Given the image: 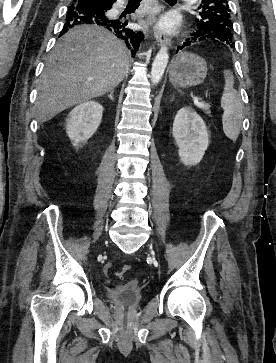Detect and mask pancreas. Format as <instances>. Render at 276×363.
I'll list each match as a JSON object with an SVG mask.
<instances>
[{
	"mask_svg": "<svg viewBox=\"0 0 276 363\" xmlns=\"http://www.w3.org/2000/svg\"><path fill=\"white\" fill-rule=\"evenodd\" d=\"M201 109L204 111V113H206L208 115L211 114V112L209 111V105L208 104H205V106L202 107Z\"/></svg>",
	"mask_w": 276,
	"mask_h": 363,
	"instance_id": "1",
	"label": "pancreas"
}]
</instances>
